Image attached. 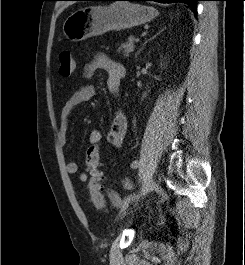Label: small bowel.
<instances>
[{
  "mask_svg": "<svg viewBox=\"0 0 245 265\" xmlns=\"http://www.w3.org/2000/svg\"><path fill=\"white\" fill-rule=\"evenodd\" d=\"M104 70L107 75V87L110 93L117 96L119 91V85L121 80L125 76L124 67L116 62L115 60L109 58L107 55L99 53L97 54L92 62H90L84 70V77L90 78L93 73L98 70ZM95 96V88L91 84H84L78 87L66 101L62 107L60 114V125L58 129V141L61 146H65L67 141V131L69 126V119L73 111L81 106L82 104L90 101ZM127 131V119L124 113L118 111L111 123L110 129L107 133V141L114 147H120L124 141ZM103 139V133L94 129L90 132L89 142L91 145L98 146ZM66 171L69 174H76L78 172V164L75 161H69L66 165ZM78 178L81 182H86L88 180V175L84 172L79 173ZM122 186L131 190L133 188V183L127 179L123 178L121 180ZM106 195L114 207L120 208L126 202L133 200L134 196L130 195L121 198L116 191L113 189H106Z\"/></svg>",
  "mask_w": 245,
  "mask_h": 265,
  "instance_id": "1",
  "label": "small bowel"
}]
</instances>
